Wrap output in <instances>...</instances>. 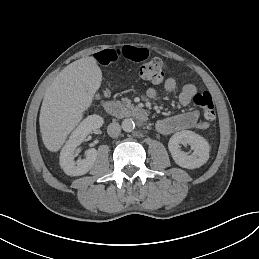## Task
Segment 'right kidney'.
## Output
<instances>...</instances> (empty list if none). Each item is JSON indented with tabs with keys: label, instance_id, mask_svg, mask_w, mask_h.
I'll list each match as a JSON object with an SVG mask.
<instances>
[{
	"label": "right kidney",
	"instance_id": "right-kidney-1",
	"mask_svg": "<svg viewBox=\"0 0 259 259\" xmlns=\"http://www.w3.org/2000/svg\"><path fill=\"white\" fill-rule=\"evenodd\" d=\"M103 124V120L100 116H89L85 119L76 131L70 137L69 142L62 150L60 163L64 172L68 176H82L87 174L94 166L97 160V150L92 148L85 152V159L75 161V153L77 147H79L88 134L92 131L100 128Z\"/></svg>",
	"mask_w": 259,
	"mask_h": 259
}]
</instances>
